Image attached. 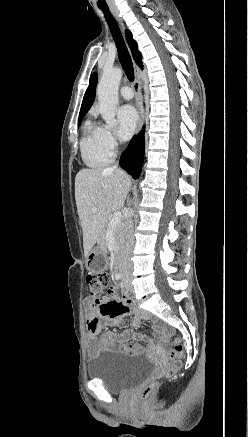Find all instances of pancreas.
Listing matches in <instances>:
<instances>
[{
    "label": "pancreas",
    "instance_id": "cf45deb5",
    "mask_svg": "<svg viewBox=\"0 0 248 437\" xmlns=\"http://www.w3.org/2000/svg\"><path fill=\"white\" fill-rule=\"evenodd\" d=\"M109 230H112V231H113L115 243H116L117 245H119V244L121 243V240H122V235H123V225H122V224H118L115 228H110V227H109V223H107V224L105 225L104 232H103L102 237H101V243H102L103 245H106V233H107Z\"/></svg>",
    "mask_w": 248,
    "mask_h": 437
}]
</instances>
